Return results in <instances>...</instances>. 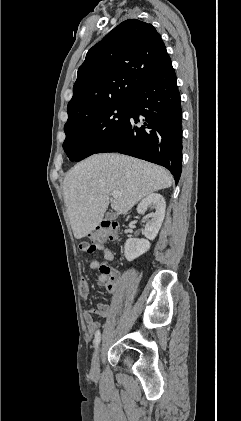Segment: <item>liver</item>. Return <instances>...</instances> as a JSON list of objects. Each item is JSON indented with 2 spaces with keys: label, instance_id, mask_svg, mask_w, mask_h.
<instances>
[{
  "label": "liver",
  "instance_id": "obj_1",
  "mask_svg": "<svg viewBox=\"0 0 241 421\" xmlns=\"http://www.w3.org/2000/svg\"><path fill=\"white\" fill-rule=\"evenodd\" d=\"M164 168L117 153L94 154L66 175L63 194L74 237L81 239L101 222L113 191L121 193L111 207L127 213L144 197L172 185Z\"/></svg>",
  "mask_w": 241,
  "mask_h": 421
}]
</instances>
